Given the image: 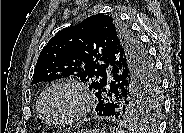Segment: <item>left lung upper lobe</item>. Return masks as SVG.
Masks as SVG:
<instances>
[{"instance_id":"1","label":"left lung upper lobe","mask_w":184,"mask_h":133,"mask_svg":"<svg viewBox=\"0 0 184 133\" xmlns=\"http://www.w3.org/2000/svg\"><path fill=\"white\" fill-rule=\"evenodd\" d=\"M115 61L127 78L117 118L131 124L155 119L161 103L155 66L129 27L116 16L92 15L59 31L42 49L31 84L74 75L97 93L107 84L106 67Z\"/></svg>"}]
</instances>
